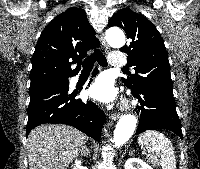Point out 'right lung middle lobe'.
I'll return each mask as SVG.
<instances>
[{
  "mask_svg": "<svg viewBox=\"0 0 200 169\" xmlns=\"http://www.w3.org/2000/svg\"><path fill=\"white\" fill-rule=\"evenodd\" d=\"M56 80H58V79H55V80H48V81H44V82L38 83V85H42V84L48 83V82H50V81H56Z\"/></svg>",
  "mask_w": 200,
  "mask_h": 169,
  "instance_id": "1",
  "label": "right lung middle lobe"
}]
</instances>
